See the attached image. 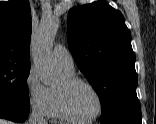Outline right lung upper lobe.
I'll return each mask as SVG.
<instances>
[{"mask_svg":"<svg viewBox=\"0 0 156 124\" xmlns=\"http://www.w3.org/2000/svg\"><path fill=\"white\" fill-rule=\"evenodd\" d=\"M30 38L29 1L0 2V63L30 65Z\"/></svg>","mask_w":156,"mask_h":124,"instance_id":"right-lung-upper-lobe-1","label":"right lung upper lobe"}]
</instances>
